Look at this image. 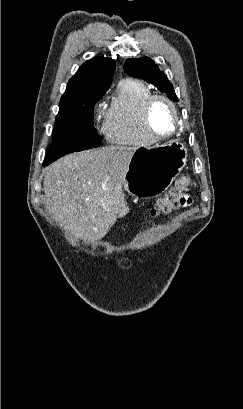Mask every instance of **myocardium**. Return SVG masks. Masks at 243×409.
Instances as JSON below:
<instances>
[{
	"instance_id": "1",
	"label": "myocardium",
	"mask_w": 243,
	"mask_h": 409,
	"mask_svg": "<svg viewBox=\"0 0 243 409\" xmlns=\"http://www.w3.org/2000/svg\"><path fill=\"white\" fill-rule=\"evenodd\" d=\"M157 101H163L165 102L171 109L174 119H175V126L174 129L168 133V134H158L156 133L151 125V112L153 109L154 104ZM142 122H143V126L145 128V131L147 132V134L154 140V141H159V140H166L169 139L171 137H173L176 132L178 131L179 127H180V116L178 113V110L176 108V105L174 104V102L169 99L168 97L164 96V95H160V94H152L150 95L144 102L143 107H142Z\"/></svg>"
}]
</instances>
